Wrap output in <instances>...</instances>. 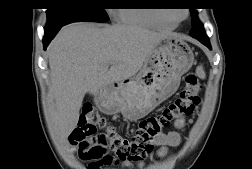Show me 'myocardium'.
Masks as SVG:
<instances>
[{"label":"myocardium","mask_w":252,"mask_h":169,"mask_svg":"<svg viewBox=\"0 0 252 169\" xmlns=\"http://www.w3.org/2000/svg\"><path fill=\"white\" fill-rule=\"evenodd\" d=\"M184 12H185V15H184L183 18H176V17H174V16H164V17L167 18V19H169V20H171V21L174 22V23H177V22H180V21H182V20H184L185 18L188 17V15H189V10H188V9H185Z\"/></svg>","instance_id":"f54148a6"}]
</instances>
